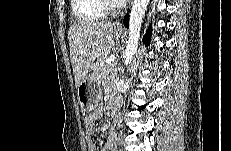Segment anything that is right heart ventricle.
<instances>
[{"label": "right heart ventricle", "instance_id": "obj_1", "mask_svg": "<svg viewBox=\"0 0 231 151\" xmlns=\"http://www.w3.org/2000/svg\"><path fill=\"white\" fill-rule=\"evenodd\" d=\"M72 10L79 24L98 22L106 16L99 0H73Z\"/></svg>", "mask_w": 231, "mask_h": 151}]
</instances>
